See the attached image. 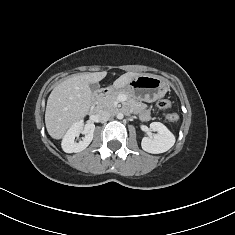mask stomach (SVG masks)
<instances>
[{
  "instance_id": "1",
  "label": "stomach",
  "mask_w": 235,
  "mask_h": 235,
  "mask_svg": "<svg viewBox=\"0 0 235 235\" xmlns=\"http://www.w3.org/2000/svg\"><path fill=\"white\" fill-rule=\"evenodd\" d=\"M123 90L134 100L153 102L166 94L168 83L160 76L141 74L133 78Z\"/></svg>"
}]
</instances>
